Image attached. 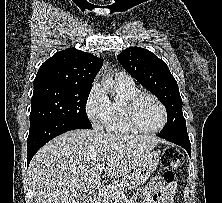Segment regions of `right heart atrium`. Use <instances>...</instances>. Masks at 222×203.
<instances>
[{"mask_svg":"<svg viewBox=\"0 0 222 203\" xmlns=\"http://www.w3.org/2000/svg\"><path fill=\"white\" fill-rule=\"evenodd\" d=\"M85 110L95 128L101 129L106 126L110 114V100L100 85L94 84L91 88Z\"/></svg>","mask_w":222,"mask_h":203,"instance_id":"obj_1","label":"right heart atrium"}]
</instances>
